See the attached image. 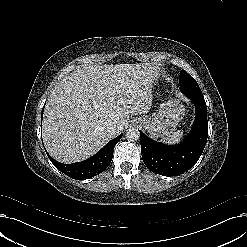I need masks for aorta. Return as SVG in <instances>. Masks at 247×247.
Returning a JSON list of instances; mask_svg holds the SVG:
<instances>
[{"instance_id":"obj_1","label":"aorta","mask_w":247,"mask_h":247,"mask_svg":"<svg viewBox=\"0 0 247 247\" xmlns=\"http://www.w3.org/2000/svg\"><path fill=\"white\" fill-rule=\"evenodd\" d=\"M125 137L129 141H137L140 137L139 130L136 128H130L126 131Z\"/></svg>"}]
</instances>
